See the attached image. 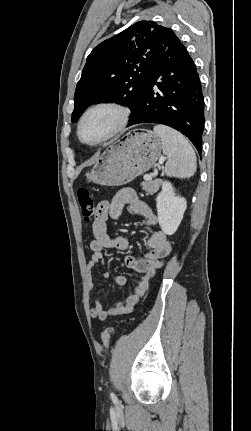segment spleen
<instances>
[{
	"instance_id": "obj_1",
	"label": "spleen",
	"mask_w": 251,
	"mask_h": 431,
	"mask_svg": "<svg viewBox=\"0 0 251 431\" xmlns=\"http://www.w3.org/2000/svg\"><path fill=\"white\" fill-rule=\"evenodd\" d=\"M154 133L161 138L163 154L168 157L165 174L178 178L193 176L197 168L196 154L187 139L165 125H156Z\"/></svg>"
}]
</instances>
